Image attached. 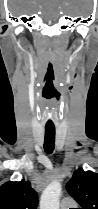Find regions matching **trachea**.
I'll return each instance as SVG.
<instances>
[{"label":"trachea","instance_id":"trachea-1","mask_svg":"<svg viewBox=\"0 0 98 209\" xmlns=\"http://www.w3.org/2000/svg\"><path fill=\"white\" fill-rule=\"evenodd\" d=\"M55 146V128L45 127L44 150L47 154H51Z\"/></svg>","mask_w":98,"mask_h":209}]
</instances>
